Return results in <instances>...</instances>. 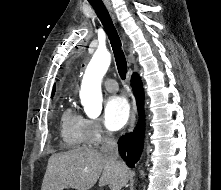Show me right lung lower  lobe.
I'll list each match as a JSON object with an SVG mask.
<instances>
[{"mask_svg":"<svg viewBox=\"0 0 221 190\" xmlns=\"http://www.w3.org/2000/svg\"><path fill=\"white\" fill-rule=\"evenodd\" d=\"M133 91L136 97L137 108L139 112V120L135 131L121 137L118 141V150L122 158L130 167H134V164L139 160L144 139V94L142 89V83L140 77L134 74L131 78Z\"/></svg>","mask_w":221,"mask_h":190,"instance_id":"98d812e1","label":"right lung lower lobe"}]
</instances>
